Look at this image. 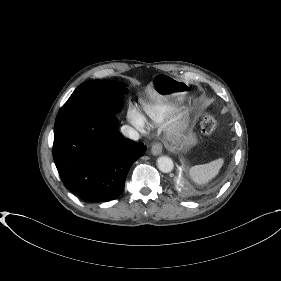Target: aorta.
Returning a JSON list of instances; mask_svg holds the SVG:
<instances>
[{
  "mask_svg": "<svg viewBox=\"0 0 281 281\" xmlns=\"http://www.w3.org/2000/svg\"><path fill=\"white\" fill-rule=\"evenodd\" d=\"M158 169L163 173H169L173 170L174 164L171 158L167 156H161L157 159Z\"/></svg>",
  "mask_w": 281,
  "mask_h": 281,
  "instance_id": "762f6f07",
  "label": "aorta"
}]
</instances>
